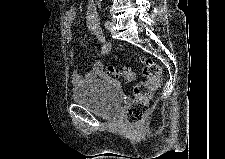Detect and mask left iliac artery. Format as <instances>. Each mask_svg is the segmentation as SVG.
Segmentation results:
<instances>
[{
  "instance_id": "44dca946",
  "label": "left iliac artery",
  "mask_w": 225,
  "mask_h": 159,
  "mask_svg": "<svg viewBox=\"0 0 225 159\" xmlns=\"http://www.w3.org/2000/svg\"><path fill=\"white\" fill-rule=\"evenodd\" d=\"M108 24H109V21L107 20V21L105 22V27H106Z\"/></svg>"
}]
</instances>
